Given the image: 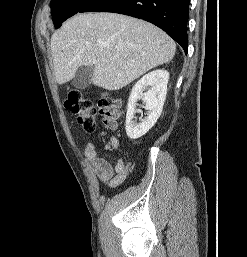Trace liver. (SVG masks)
I'll list each match as a JSON object with an SVG mask.
<instances>
[{
  "instance_id": "1",
  "label": "liver",
  "mask_w": 247,
  "mask_h": 257,
  "mask_svg": "<svg viewBox=\"0 0 247 257\" xmlns=\"http://www.w3.org/2000/svg\"><path fill=\"white\" fill-rule=\"evenodd\" d=\"M175 51V42L158 27L117 13L78 14L51 37L58 84L73 79L80 66H92L93 84L110 91L169 62Z\"/></svg>"
}]
</instances>
